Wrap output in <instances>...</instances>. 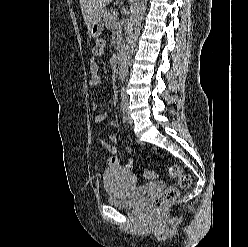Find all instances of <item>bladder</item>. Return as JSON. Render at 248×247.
<instances>
[{
  "label": "bladder",
  "mask_w": 248,
  "mask_h": 247,
  "mask_svg": "<svg viewBox=\"0 0 248 247\" xmlns=\"http://www.w3.org/2000/svg\"><path fill=\"white\" fill-rule=\"evenodd\" d=\"M103 183L108 203L116 207H133L138 201L140 187L131 171L123 167H112L103 174Z\"/></svg>",
  "instance_id": "1"
}]
</instances>
